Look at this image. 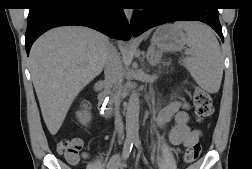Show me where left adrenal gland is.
<instances>
[{
  "label": "left adrenal gland",
  "instance_id": "a2214340",
  "mask_svg": "<svg viewBox=\"0 0 252 169\" xmlns=\"http://www.w3.org/2000/svg\"><path fill=\"white\" fill-rule=\"evenodd\" d=\"M161 57H162V53L155 48L153 43H151V45L149 46L146 52L147 62L151 64L152 66H156L160 64Z\"/></svg>",
  "mask_w": 252,
  "mask_h": 169
}]
</instances>
